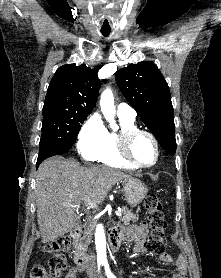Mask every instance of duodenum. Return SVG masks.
Listing matches in <instances>:
<instances>
[{
    "label": "duodenum",
    "instance_id": "obj_1",
    "mask_svg": "<svg viewBox=\"0 0 221 278\" xmlns=\"http://www.w3.org/2000/svg\"><path fill=\"white\" fill-rule=\"evenodd\" d=\"M81 233L82 228L78 226L73 229L71 236L73 239L78 240L81 236ZM126 238L128 237L126 236L125 230L123 228H119L114 225L111 226L109 234V244L113 252H117L120 249L122 242ZM73 260L76 263L77 267L82 270L86 268L89 261V256L83 251L76 250L73 254Z\"/></svg>",
    "mask_w": 221,
    "mask_h": 278
}]
</instances>
